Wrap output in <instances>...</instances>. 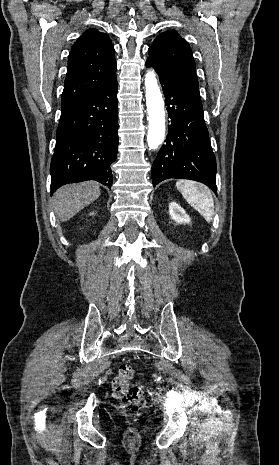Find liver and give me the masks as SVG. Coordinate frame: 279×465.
I'll list each match as a JSON object with an SVG mask.
<instances>
[{"mask_svg": "<svg viewBox=\"0 0 279 465\" xmlns=\"http://www.w3.org/2000/svg\"><path fill=\"white\" fill-rule=\"evenodd\" d=\"M100 194V186L94 181L69 184L59 188L52 199L57 218L62 222L68 221L97 200Z\"/></svg>", "mask_w": 279, "mask_h": 465, "instance_id": "6515ba94", "label": "liver"}]
</instances>
